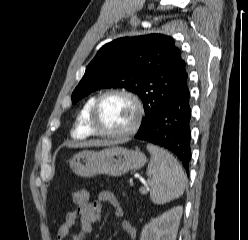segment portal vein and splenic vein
I'll return each mask as SVG.
<instances>
[{
  "label": "portal vein and splenic vein",
  "instance_id": "18ae733b",
  "mask_svg": "<svg viewBox=\"0 0 248 240\" xmlns=\"http://www.w3.org/2000/svg\"><path fill=\"white\" fill-rule=\"evenodd\" d=\"M149 189L147 187L140 188V192L145 194Z\"/></svg>",
  "mask_w": 248,
  "mask_h": 240
}]
</instances>
